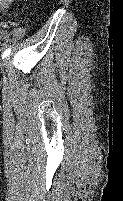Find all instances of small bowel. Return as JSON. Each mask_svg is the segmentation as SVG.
Returning a JSON list of instances; mask_svg holds the SVG:
<instances>
[{
  "label": "small bowel",
  "instance_id": "c3829d8e",
  "mask_svg": "<svg viewBox=\"0 0 123 201\" xmlns=\"http://www.w3.org/2000/svg\"><path fill=\"white\" fill-rule=\"evenodd\" d=\"M11 0H0V6H3L9 3ZM18 24L16 22H1L0 23V30H6L10 28H16Z\"/></svg>",
  "mask_w": 123,
  "mask_h": 201
}]
</instances>
